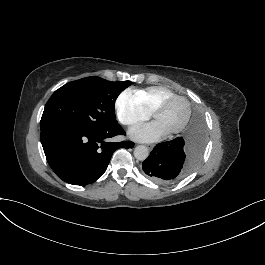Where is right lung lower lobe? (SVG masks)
<instances>
[{
	"label": "right lung lower lobe",
	"instance_id": "obj_1",
	"mask_svg": "<svg viewBox=\"0 0 265 265\" xmlns=\"http://www.w3.org/2000/svg\"><path fill=\"white\" fill-rule=\"evenodd\" d=\"M116 135H125L119 124L107 128L66 124L42 131L41 143L57 176L69 184L83 186L104 174L116 149L134 146L130 141H107Z\"/></svg>",
	"mask_w": 265,
	"mask_h": 265
}]
</instances>
